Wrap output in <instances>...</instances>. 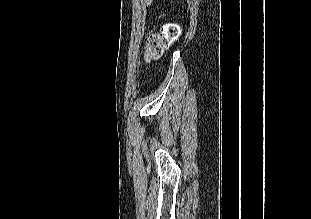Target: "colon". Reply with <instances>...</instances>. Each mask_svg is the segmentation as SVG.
Masks as SVG:
<instances>
[{
    "mask_svg": "<svg viewBox=\"0 0 311 219\" xmlns=\"http://www.w3.org/2000/svg\"><path fill=\"white\" fill-rule=\"evenodd\" d=\"M180 36V28L176 23H167L159 33L151 34L146 42L149 58H159Z\"/></svg>",
    "mask_w": 311,
    "mask_h": 219,
    "instance_id": "colon-1",
    "label": "colon"
}]
</instances>
